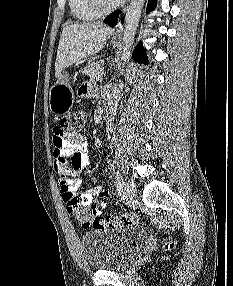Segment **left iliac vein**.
<instances>
[{"label":"left iliac vein","mask_w":233,"mask_h":286,"mask_svg":"<svg viewBox=\"0 0 233 286\" xmlns=\"http://www.w3.org/2000/svg\"><path fill=\"white\" fill-rule=\"evenodd\" d=\"M123 195L128 202L134 201L137 195L136 185L131 180L123 182Z\"/></svg>","instance_id":"left-iliac-vein-1"}]
</instances>
